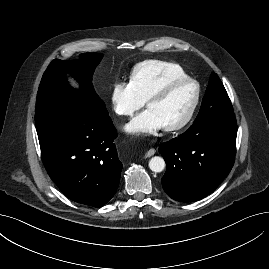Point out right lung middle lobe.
I'll list each match as a JSON object with an SVG mask.
<instances>
[{
	"label": "right lung middle lobe",
	"mask_w": 269,
	"mask_h": 269,
	"mask_svg": "<svg viewBox=\"0 0 269 269\" xmlns=\"http://www.w3.org/2000/svg\"><path fill=\"white\" fill-rule=\"evenodd\" d=\"M77 61L54 60L45 71L37 93L35 124L39 142L46 141L86 122L110 120L106 106L92 84L102 54L83 53ZM71 73L79 89L65 77Z\"/></svg>",
	"instance_id": "dd1d6c3e"
}]
</instances>
